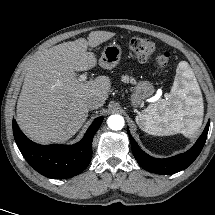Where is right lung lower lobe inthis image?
I'll list each match as a JSON object with an SVG mask.
<instances>
[{"mask_svg": "<svg viewBox=\"0 0 215 215\" xmlns=\"http://www.w3.org/2000/svg\"><path fill=\"white\" fill-rule=\"evenodd\" d=\"M103 117L96 118L83 139L73 145H39L29 140L13 120V134L26 161L40 174L53 179L80 174L90 163L92 140Z\"/></svg>", "mask_w": 215, "mask_h": 215, "instance_id": "obj_1", "label": "right lung lower lobe"}]
</instances>
